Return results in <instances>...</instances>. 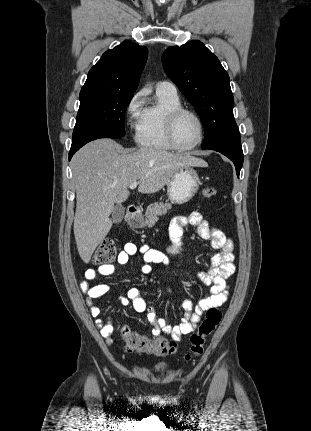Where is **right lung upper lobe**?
<instances>
[{
  "instance_id": "cb5924a9",
  "label": "right lung upper lobe",
  "mask_w": 311,
  "mask_h": 431,
  "mask_svg": "<svg viewBox=\"0 0 311 431\" xmlns=\"http://www.w3.org/2000/svg\"><path fill=\"white\" fill-rule=\"evenodd\" d=\"M147 56L148 50L145 46L129 41L106 51L90 69L81 92L107 91L134 94Z\"/></svg>"
}]
</instances>
